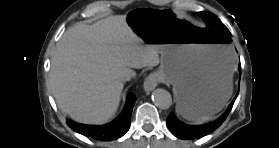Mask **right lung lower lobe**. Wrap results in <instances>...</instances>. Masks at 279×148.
I'll use <instances>...</instances> for the list:
<instances>
[{"label": "right lung lower lobe", "mask_w": 279, "mask_h": 148, "mask_svg": "<svg viewBox=\"0 0 279 148\" xmlns=\"http://www.w3.org/2000/svg\"><path fill=\"white\" fill-rule=\"evenodd\" d=\"M135 96L130 93L127 96L126 105L122 113L111 123L103 126L84 125L67 120V125L74 131L95 140L110 141L123 136L129 129L131 113L135 104Z\"/></svg>", "instance_id": "right-lung-lower-lobe-1"}]
</instances>
